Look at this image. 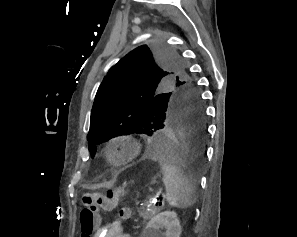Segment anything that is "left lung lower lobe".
<instances>
[{"instance_id":"obj_1","label":"left lung lower lobe","mask_w":297,"mask_h":237,"mask_svg":"<svg viewBox=\"0 0 297 237\" xmlns=\"http://www.w3.org/2000/svg\"><path fill=\"white\" fill-rule=\"evenodd\" d=\"M207 140L203 106L180 100L172 105L160 127L145 143L142 154L163 156L180 165L196 168L203 160Z\"/></svg>"}]
</instances>
